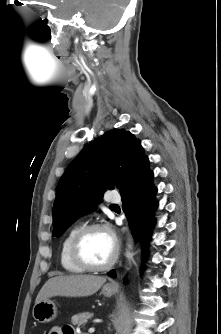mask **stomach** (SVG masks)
<instances>
[{
  "instance_id": "0dacf381",
  "label": "stomach",
  "mask_w": 221,
  "mask_h": 334,
  "mask_svg": "<svg viewBox=\"0 0 221 334\" xmlns=\"http://www.w3.org/2000/svg\"><path fill=\"white\" fill-rule=\"evenodd\" d=\"M116 292V288L106 284L102 288V294L105 297H111ZM33 318L39 323H49L57 316V307L53 301L46 299L35 303L32 310Z\"/></svg>"
}]
</instances>
